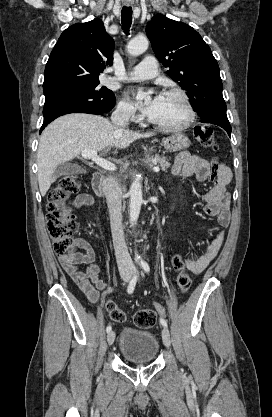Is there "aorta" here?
Wrapping results in <instances>:
<instances>
[{
	"label": "aorta",
	"instance_id": "762f6f07",
	"mask_svg": "<svg viewBox=\"0 0 272 417\" xmlns=\"http://www.w3.org/2000/svg\"><path fill=\"white\" fill-rule=\"evenodd\" d=\"M148 39L144 36H138L133 38L127 45V51L132 56H138L144 53L148 49ZM149 92L148 94H151ZM150 100V96H147L146 101ZM130 204H129V221L134 224L139 218L142 198V184L139 178L134 179L130 187Z\"/></svg>",
	"mask_w": 272,
	"mask_h": 417
}]
</instances>
